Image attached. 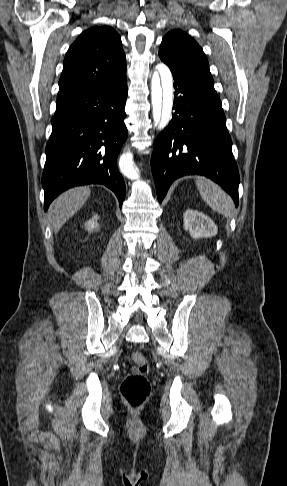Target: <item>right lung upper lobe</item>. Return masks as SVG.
I'll list each match as a JSON object with an SVG mask.
<instances>
[{
	"label": "right lung upper lobe",
	"instance_id": "1",
	"mask_svg": "<svg viewBox=\"0 0 287 486\" xmlns=\"http://www.w3.org/2000/svg\"><path fill=\"white\" fill-rule=\"evenodd\" d=\"M126 79V58L117 32L109 26L84 31L70 46L59 80L57 107Z\"/></svg>",
	"mask_w": 287,
	"mask_h": 486
}]
</instances>
